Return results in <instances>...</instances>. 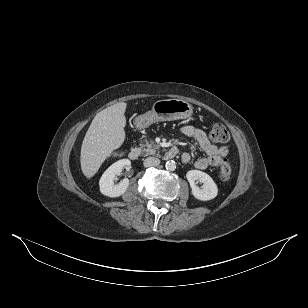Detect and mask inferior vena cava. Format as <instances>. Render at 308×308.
<instances>
[{"label":"inferior vena cava","mask_w":308,"mask_h":308,"mask_svg":"<svg viewBox=\"0 0 308 308\" xmlns=\"http://www.w3.org/2000/svg\"><path fill=\"white\" fill-rule=\"evenodd\" d=\"M143 164L145 167H156L160 164V160L157 157H148Z\"/></svg>","instance_id":"obj_1"}]
</instances>
